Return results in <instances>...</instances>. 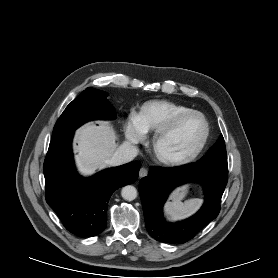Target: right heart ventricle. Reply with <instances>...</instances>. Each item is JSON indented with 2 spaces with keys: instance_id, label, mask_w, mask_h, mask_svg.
I'll use <instances>...</instances> for the list:
<instances>
[{
  "instance_id": "obj_1",
  "label": "right heart ventricle",
  "mask_w": 278,
  "mask_h": 278,
  "mask_svg": "<svg viewBox=\"0 0 278 278\" xmlns=\"http://www.w3.org/2000/svg\"><path fill=\"white\" fill-rule=\"evenodd\" d=\"M192 110L191 108L167 100L145 102L137 113V119L144 133L158 131L176 116Z\"/></svg>"
}]
</instances>
